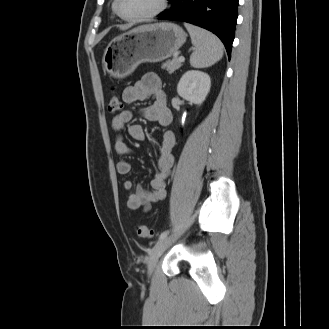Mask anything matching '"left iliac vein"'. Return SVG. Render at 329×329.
Returning <instances> with one entry per match:
<instances>
[{
	"mask_svg": "<svg viewBox=\"0 0 329 329\" xmlns=\"http://www.w3.org/2000/svg\"><path fill=\"white\" fill-rule=\"evenodd\" d=\"M171 241L172 238L166 237L161 241L157 242V244L152 248L147 263V272L149 276L152 275V273L154 272L160 256L165 251V249L169 246Z\"/></svg>",
	"mask_w": 329,
	"mask_h": 329,
	"instance_id": "obj_1",
	"label": "left iliac vein"
}]
</instances>
